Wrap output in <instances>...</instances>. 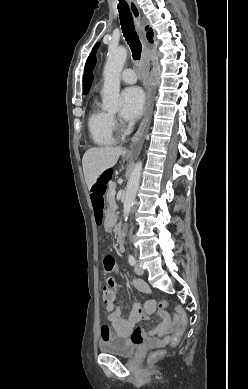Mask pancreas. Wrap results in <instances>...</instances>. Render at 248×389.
<instances>
[{
  "label": "pancreas",
  "instance_id": "cf45deb5",
  "mask_svg": "<svg viewBox=\"0 0 248 389\" xmlns=\"http://www.w3.org/2000/svg\"><path fill=\"white\" fill-rule=\"evenodd\" d=\"M115 189H116V183L115 182L109 183V188H108L106 200H107L109 207L111 209H113L115 207V198L112 195V193L115 191Z\"/></svg>",
  "mask_w": 248,
  "mask_h": 389
}]
</instances>
